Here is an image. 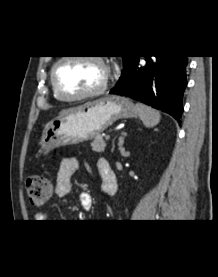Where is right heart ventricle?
<instances>
[{
	"instance_id": "1",
	"label": "right heart ventricle",
	"mask_w": 218,
	"mask_h": 277,
	"mask_svg": "<svg viewBox=\"0 0 218 277\" xmlns=\"http://www.w3.org/2000/svg\"><path fill=\"white\" fill-rule=\"evenodd\" d=\"M53 95H54V97H55L57 100H61V99L56 95V93L54 92V90H53Z\"/></svg>"
}]
</instances>
